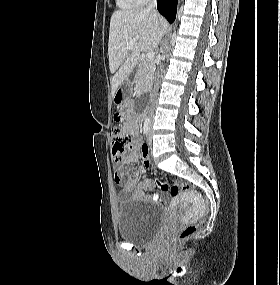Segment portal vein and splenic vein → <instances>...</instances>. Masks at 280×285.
I'll return each mask as SVG.
<instances>
[{"instance_id": "obj_1", "label": "portal vein and splenic vein", "mask_w": 280, "mask_h": 285, "mask_svg": "<svg viewBox=\"0 0 280 285\" xmlns=\"http://www.w3.org/2000/svg\"><path fill=\"white\" fill-rule=\"evenodd\" d=\"M137 40H138V37L134 38L132 41H130V43L127 44L128 50H131L133 48V45L135 42H137ZM153 59H154V52L153 51L148 52L146 54L145 61L151 62Z\"/></svg>"}]
</instances>
